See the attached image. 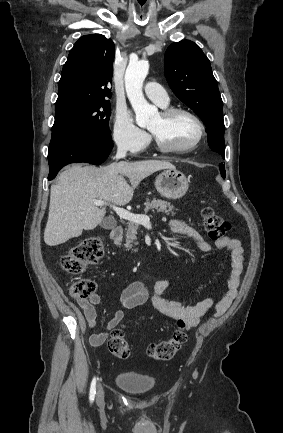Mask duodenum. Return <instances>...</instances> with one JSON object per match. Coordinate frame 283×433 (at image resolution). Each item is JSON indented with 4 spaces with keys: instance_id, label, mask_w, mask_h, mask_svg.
<instances>
[{
    "instance_id": "1",
    "label": "duodenum",
    "mask_w": 283,
    "mask_h": 433,
    "mask_svg": "<svg viewBox=\"0 0 283 433\" xmlns=\"http://www.w3.org/2000/svg\"><path fill=\"white\" fill-rule=\"evenodd\" d=\"M123 237V227L116 226L110 232V238L115 242L119 243Z\"/></svg>"
}]
</instances>
